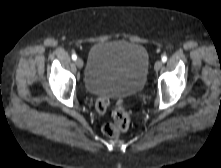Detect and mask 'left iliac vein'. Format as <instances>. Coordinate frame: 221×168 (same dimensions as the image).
Listing matches in <instances>:
<instances>
[{
	"mask_svg": "<svg viewBox=\"0 0 221 168\" xmlns=\"http://www.w3.org/2000/svg\"><path fill=\"white\" fill-rule=\"evenodd\" d=\"M162 66H163V62L158 60V61H156L155 65H154V69L156 71H158V70H160L162 68Z\"/></svg>",
	"mask_w": 221,
	"mask_h": 168,
	"instance_id": "4c4485c4",
	"label": "left iliac vein"
}]
</instances>
